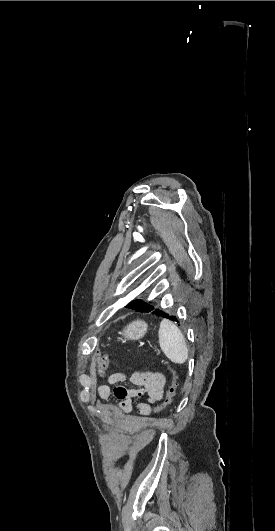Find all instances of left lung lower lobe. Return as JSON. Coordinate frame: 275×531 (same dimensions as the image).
I'll return each instance as SVG.
<instances>
[{
	"label": "left lung lower lobe",
	"mask_w": 275,
	"mask_h": 531,
	"mask_svg": "<svg viewBox=\"0 0 275 531\" xmlns=\"http://www.w3.org/2000/svg\"><path fill=\"white\" fill-rule=\"evenodd\" d=\"M153 313H155L158 316L166 317V318H168V319H170L172 321H176L177 323L179 322L175 316H169L168 314H166V313H164L162 311L155 310Z\"/></svg>",
	"instance_id": "obj_1"
}]
</instances>
